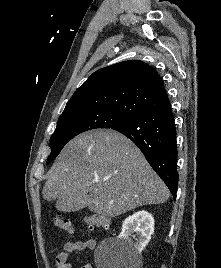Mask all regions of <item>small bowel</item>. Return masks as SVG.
<instances>
[{"instance_id": "small-bowel-1", "label": "small bowel", "mask_w": 221, "mask_h": 268, "mask_svg": "<svg viewBox=\"0 0 221 268\" xmlns=\"http://www.w3.org/2000/svg\"><path fill=\"white\" fill-rule=\"evenodd\" d=\"M96 240L89 239L85 242L83 241H68L64 244L62 249L57 253L55 258L56 268H72V263L70 261V255L74 252H79L83 250H93L96 247ZM82 268H93L91 263L85 264Z\"/></svg>"}]
</instances>
